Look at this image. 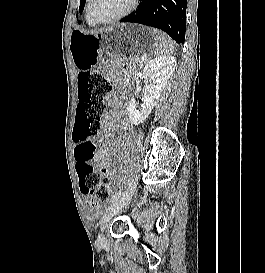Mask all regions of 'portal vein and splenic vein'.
<instances>
[{
    "instance_id": "1",
    "label": "portal vein and splenic vein",
    "mask_w": 265,
    "mask_h": 273,
    "mask_svg": "<svg viewBox=\"0 0 265 273\" xmlns=\"http://www.w3.org/2000/svg\"><path fill=\"white\" fill-rule=\"evenodd\" d=\"M144 60H147V56H143Z\"/></svg>"
}]
</instances>
